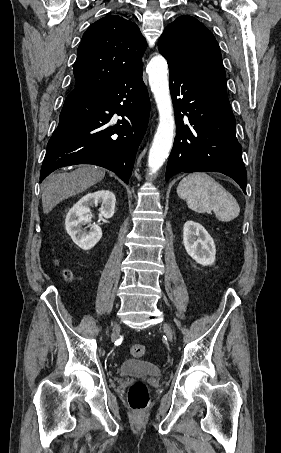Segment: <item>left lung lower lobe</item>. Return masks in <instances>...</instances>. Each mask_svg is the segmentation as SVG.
<instances>
[{
  "mask_svg": "<svg viewBox=\"0 0 281 453\" xmlns=\"http://www.w3.org/2000/svg\"><path fill=\"white\" fill-rule=\"evenodd\" d=\"M176 137L166 181L179 172H221L246 194L247 173L236 122L226 92V76L191 73L168 63ZM183 112L189 125L183 122Z\"/></svg>",
  "mask_w": 281,
  "mask_h": 453,
  "instance_id": "obj_1",
  "label": "left lung lower lobe"
}]
</instances>
